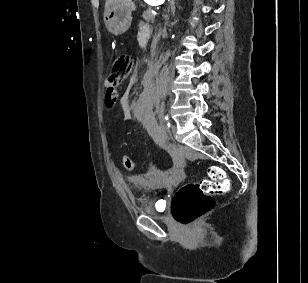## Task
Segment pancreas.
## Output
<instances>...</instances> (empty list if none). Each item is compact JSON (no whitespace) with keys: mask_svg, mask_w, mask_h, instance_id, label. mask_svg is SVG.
Instances as JSON below:
<instances>
[{"mask_svg":"<svg viewBox=\"0 0 308 283\" xmlns=\"http://www.w3.org/2000/svg\"><path fill=\"white\" fill-rule=\"evenodd\" d=\"M142 17L148 23L149 22L153 23L154 19H155V16H154V14L151 13L150 9H147L146 11H144L143 14H142Z\"/></svg>","mask_w":308,"mask_h":283,"instance_id":"cf45deb5","label":"pancreas"}]
</instances>
